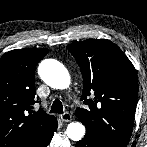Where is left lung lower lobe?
<instances>
[{
	"instance_id": "1",
	"label": "left lung lower lobe",
	"mask_w": 147,
	"mask_h": 147,
	"mask_svg": "<svg viewBox=\"0 0 147 147\" xmlns=\"http://www.w3.org/2000/svg\"><path fill=\"white\" fill-rule=\"evenodd\" d=\"M76 147H106L104 144L98 142L92 136L85 135V137L76 143Z\"/></svg>"
}]
</instances>
